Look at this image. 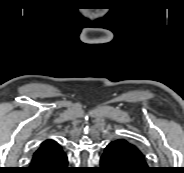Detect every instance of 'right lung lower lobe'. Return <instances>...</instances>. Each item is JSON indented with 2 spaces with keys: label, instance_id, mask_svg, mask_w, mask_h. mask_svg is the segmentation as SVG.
<instances>
[{
  "label": "right lung lower lobe",
  "instance_id": "right-lung-lower-lobe-1",
  "mask_svg": "<svg viewBox=\"0 0 184 173\" xmlns=\"http://www.w3.org/2000/svg\"><path fill=\"white\" fill-rule=\"evenodd\" d=\"M68 167V159L61 146L41 153L34 154L30 167L26 168L25 173H72Z\"/></svg>",
  "mask_w": 184,
  "mask_h": 173
}]
</instances>
